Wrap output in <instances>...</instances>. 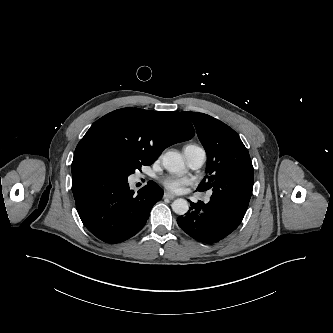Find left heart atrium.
I'll use <instances>...</instances> for the list:
<instances>
[{
  "label": "left heart atrium",
  "instance_id": "left-heart-atrium-1",
  "mask_svg": "<svg viewBox=\"0 0 333 333\" xmlns=\"http://www.w3.org/2000/svg\"><path fill=\"white\" fill-rule=\"evenodd\" d=\"M188 182L189 180L187 178L177 176H167L162 179L164 187L173 193L182 192Z\"/></svg>",
  "mask_w": 333,
  "mask_h": 333
}]
</instances>
